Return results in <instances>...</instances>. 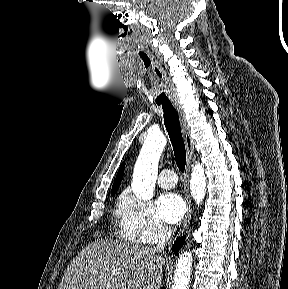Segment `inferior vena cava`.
<instances>
[{
    "mask_svg": "<svg viewBox=\"0 0 288 289\" xmlns=\"http://www.w3.org/2000/svg\"><path fill=\"white\" fill-rule=\"evenodd\" d=\"M172 232H173L172 229L168 227L167 225H164L160 229L158 238H157V244H156V247L154 248L156 252H161L164 250L165 243L170 239Z\"/></svg>",
    "mask_w": 288,
    "mask_h": 289,
    "instance_id": "inferior-vena-cava-1",
    "label": "inferior vena cava"
}]
</instances>
